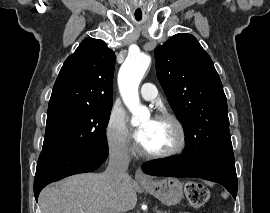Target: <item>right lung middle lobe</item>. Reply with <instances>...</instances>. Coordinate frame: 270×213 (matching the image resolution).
Here are the masks:
<instances>
[{"label": "right lung middle lobe", "mask_w": 270, "mask_h": 213, "mask_svg": "<svg viewBox=\"0 0 270 213\" xmlns=\"http://www.w3.org/2000/svg\"><path fill=\"white\" fill-rule=\"evenodd\" d=\"M111 107L62 106L47 111L41 153L81 151L107 145L106 127Z\"/></svg>", "instance_id": "obj_1"}]
</instances>
